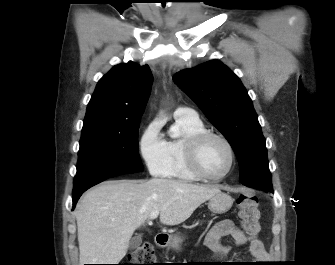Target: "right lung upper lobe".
<instances>
[{"instance_id":"right-lung-upper-lobe-1","label":"right lung upper lobe","mask_w":335,"mask_h":265,"mask_svg":"<svg viewBox=\"0 0 335 265\" xmlns=\"http://www.w3.org/2000/svg\"><path fill=\"white\" fill-rule=\"evenodd\" d=\"M152 81L147 65L114 66L96 86L87 106L82 133L119 131L140 122Z\"/></svg>"}]
</instances>
